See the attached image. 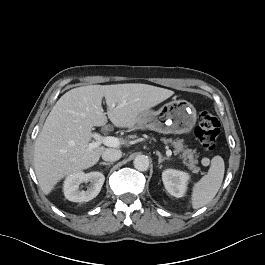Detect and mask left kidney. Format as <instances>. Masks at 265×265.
<instances>
[{
	"label": "left kidney",
	"mask_w": 265,
	"mask_h": 265,
	"mask_svg": "<svg viewBox=\"0 0 265 265\" xmlns=\"http://www.w3.org/2000/svg\"><path fill=\"white\" fill-rule=\"evenodd\" d=\"M189 178L188 173L175 169H166L162 172L165 189L176 198L185 194Z\"/></svg>",
	"instance_id": "left-kidney-1"
}]
</instances>
